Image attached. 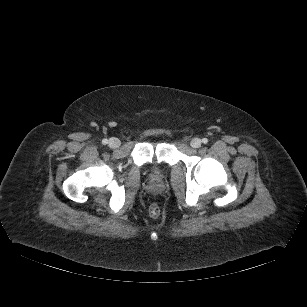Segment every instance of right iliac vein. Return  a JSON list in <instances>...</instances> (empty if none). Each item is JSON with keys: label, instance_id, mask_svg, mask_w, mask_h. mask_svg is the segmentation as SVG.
Wrapping results in <instances>:
<instances>
[{"label": "right iliac vein", "instance_id": "obj_1", "mask_svg": "<svg viewBox=\"0 0 307 307\" xmlns=\"http://www.w3.org/2000/svg\"><path fill=\"white\" fill-rule=\"evenodd\" d=\"M111 148H118L121 145V141L118 138H110L108 142Z\"/></svg>", "mask_w": 307, "mask_h": 307}]
</instances>
